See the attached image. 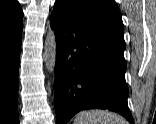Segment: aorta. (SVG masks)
I'll list each match as a JSON object with an SVG mask.
<instances>
[{"instance_id": "1", "label": "aorta", "mask_w": 156, "mask_h": 124, "mask_svg": "<svg viewBox=\"0 0 156 124\" xmlns=\"http://www.w3.org/2000/svg\"><path fill=\"white\" fill-rule=\"evenodd\" d=\"M56 36L55 32L49 28L44 45V60L47 71L52 74L56 64Z\"/></svg>"}]
</instances>
